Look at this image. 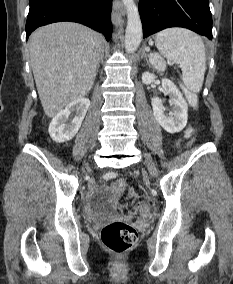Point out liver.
I'll return each mask as SVG.
<instances>
[{
  "mask_svg": "<svg viewBox=\"0 0 233 284\" xmlns=\"http://www.w3.org/2000/svg\"><path fill=\"white\" fill-rule=\"evenodd\" d=\"M102 47L99 33L77 23H53L32 33L31 67L48 117L91 90Z\"/></svg>",
  "mask_w": 233,
  "mask_h": 284,
  "instance_id": "obj_1",
  "label": "liver"
}]
</instances>
